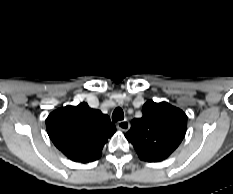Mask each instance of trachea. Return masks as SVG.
Returning <instances> with one entry per match:
<instances>
[{"label": "trachea", "instance_id": "1", "mask_svg": "<svg viewBox=\"0 0 233 194\" xmlns=\"http://www.w3.org/2000/svg\"><path fill=\"white\" fill-rule=\"evenodd\" d=\"M123 119H124V112L120 107H117L112 114V120L113 122H117Z\"/></svg>", "mask_w": 233, "mask_h": 194}]
</instances>
